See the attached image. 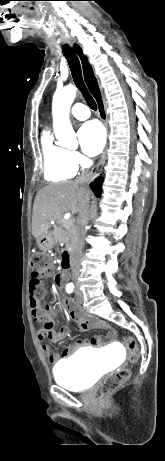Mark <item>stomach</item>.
<instances>
[{
    "label": "stomach",
    "instance_id": "obj_1",
    "mask_svg": "<svg viewBox=\"0 0 165 461\" xmlns=\"http://www.w3.org/2000/svg\"><path fill=\"white\" fill-rule=\"evenodd\" d=\"M53 236L50 231L45 232L37 239V246L40 250H48L52 247Z\"/></svg>",
    "mask_w": 165,
    "mask_h": 461
}]
</instances>
